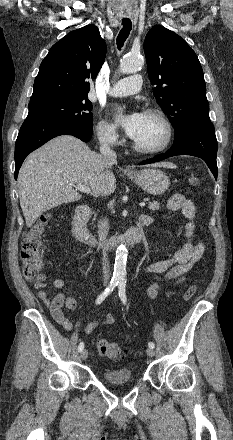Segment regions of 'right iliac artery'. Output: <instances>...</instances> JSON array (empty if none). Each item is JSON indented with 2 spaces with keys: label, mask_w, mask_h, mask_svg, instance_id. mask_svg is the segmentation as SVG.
I'll use <instances>...</instances> for the list:
<instances>
[{
  "label": "right iliac artery",
  "mask_w": 233,
  "mask_h": 440,
  "mask_svg": "<svg viewBox=\"0 0 233 440\" xmlns=\"http://www.w3.org/2000/svg\"><path fill=\"white\" fill-rule=\"evenodd\" d=\"M119 280L112 279L109 286L97 297L96 304L102 303L103 300L115 289L118 285ZM84 349V344L81 342L78 346V351L81 352Z\"/></svg>",
  "instance_id": "right-iliac-artery-1"
}]
</instances>
